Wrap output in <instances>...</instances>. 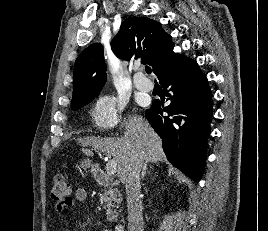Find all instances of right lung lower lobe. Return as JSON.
Returning <instances> with one entry per match:
<instances>
[{
	"instance_id": "obj_1",
	"label": "right lung lower lobe",
	"mask_w": 268,
	"mask_h": 231,
	"mask_svg": "<svg viewBox=\"0 0 268 231\" xmlns=\"http://www.w3.org/2000/svg\"><path fill=\"white\" fill-rule=\"evenodd\" d=\"M159 81L171 103L154 100L146 117L163 140L168 160L195 182L201 179L212 117V93L198 64L188 59ZM167 116H163V113Z\"/></svg>"
}]
</instances>
